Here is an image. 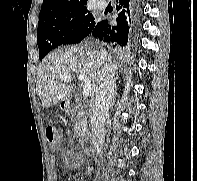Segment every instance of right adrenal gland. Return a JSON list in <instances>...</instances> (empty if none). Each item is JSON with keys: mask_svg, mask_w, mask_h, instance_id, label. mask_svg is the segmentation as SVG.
Returning a JSON list of instances; mask_svg holds the SVG:
<instances>
[{"mask_svg": "<svg viewBox=\"0 0 197 181\" xmlns=\"http://www.w3.org/2000/svg\"><path fill=\"white\" fill-rule=\"evenodd\" d=\"M116 94H117V86L115 87V96H116ZM114 104H115V97H114V100L112 102V105H114Z\"/></svg>", "mask_w": 197, "mask_h": 181, "instance_id": "obj_1", "label": "right adrenal gland"}]
</instances>
